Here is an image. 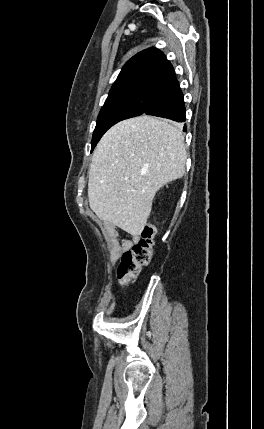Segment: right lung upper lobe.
Segmentation results:
<instances>
[{"mask_svg":"<svg viewBox=\"0 0 264 429\" xmlns=\"http://www.w3.org/2000/svg\"><path fill=\"white\" fill-rule=\"evenodd\" d=\"M174 76L173 67L164 54L158 49L149 48L124 65L110 92L137 86L161 88Z\"/></svg>","mask_w":264,"mask_h":429,"instance_id":"1","label":"right lung upper lobe"}]
</instances>
